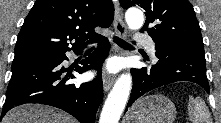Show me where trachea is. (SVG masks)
<instances>
[{
    "label": "trachea",
    "mask_w": 221,
    "mask_h": 123,
    "mask_svg": "<svg viewBox=\"0 0 221 123\" xmlns=\"http://www.w3.org/2000/svg\"><path fill=\"white\" fill-rule=\"evenodd\" d=\"M114 42L117 43L121 47H128V46H130V44H128L127 42L123 41L122 39H120L118 37L114 38Z\"/></svg>",
    "instance_id": "trachea-1"
}]
</instances>
